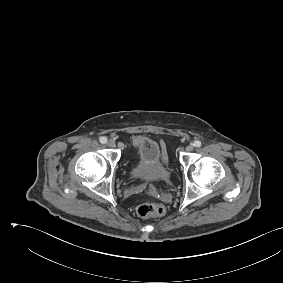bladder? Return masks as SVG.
Returning <instances> with one entry per match:
<instances>
[{
	"instance_id": "obj_1",
	"label": "bladder",
	"mask_w": 283,
	"mask_h": 283,
	"mask_svg": "<svg viewBox=\"0 0 283 283\" xmlns=\"http://www.w3.org/2000/svg\"><path fill=\"white\" fill-rule=\"evenodd\" d=\"M136 162L131 173L135 178H165L169 167L160 162L161 149L153 140H146L135 145Z\"/></svg>"
}]
</instances>
